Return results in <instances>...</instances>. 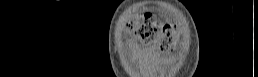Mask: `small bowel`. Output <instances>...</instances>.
Returning a JSON list of instances; mask_svg holds the SVG:
<instances>
[{
	"label": "small bowel",
	"instance_id": "small-bowel-1",
	"mask_svg": "<svg viewBox=\"0 0 258 77\" xmlns=\"http://www.w3.org/2000/svg\"><path fill=\"white\" fill-rule=\"evenodd\" d=\"M131 46H132V48H133L136 52H140V51H141V49L137 46V44H136L135 42H132V43H131Z\"/></svg>",
	"mask_w": 258,
	"mask_h": 77
}]
</instances>
